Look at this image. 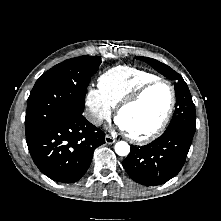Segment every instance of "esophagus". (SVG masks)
<instances>
[{
  "label": "esophagus",
  "mask_w": 221,
  "mask_h": 221,
  "mask_svg": "<svg viewBox=\"0 0 221 221\" xmlns=\"http://www.w3.org/2000/svg\"><path fill=\"white\" fill-rule=\"evenodd\" d=\"M105 142L107 144H114L116 142V139H114L113 137H111L110 135H106L104 138Z\"/></svg>",
  "instance_id": "esophagus-1"
}]
</instances>
